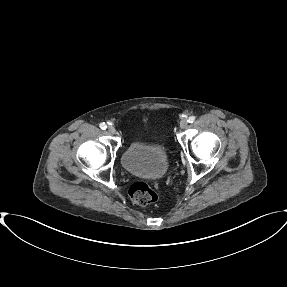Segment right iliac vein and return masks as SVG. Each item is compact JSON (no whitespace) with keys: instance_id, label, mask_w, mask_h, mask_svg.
<instances>
[{"instance_id":"right-iliac-vein-1","label":"right iliac vein","mask_w":287,"mask_h":287,"mask_svg":"<svg viewBox=\"0 0 287 287\" xmlns=\"http://www.w3.org/2000/svg\"><path fill=\"white\" fill-rule=\"evenodd\" d=\"M107 132L109 133V134H115L116 133V130H115V128L113 127V126H108V128H107Z\"/></svg>"}]
</instances>
